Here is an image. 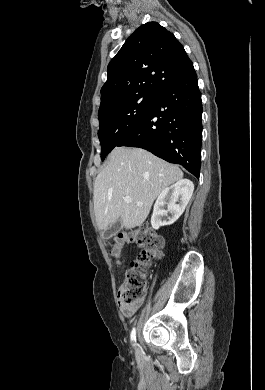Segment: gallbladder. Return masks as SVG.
<instances>
[{
    "label": "gallbladder",
    "instance_id": "1",
    "mask_svg": "<svg viewBox=\"0 0 265 390\" xmlns=\"http://www.w3.org/2000/svg\"><path fill=\"white\" fill-rule=\"evenodd\" d=\"M122 223L121 219H117L114 223H112L105 231L104 236L106 239L115 236L121 229Z\"/></svg>",
    "mask_w": 265,
    "mask_h": 390
}]
</instances>
